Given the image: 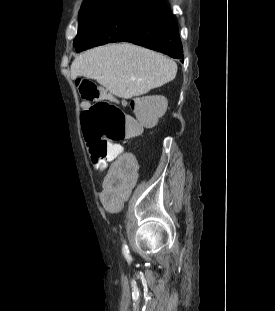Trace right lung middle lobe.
I'll list each match as a JSON object with an SVG mask.
<instances>
[{
    "instance_id": "1",
    "label": "right lung middle lobe",
    "mask_w": 275,
    "mask_h": 311,
    "mask_svg": "<svg viewBox=\"0 0 275 311\" xmlns=\"http://www.w3.org/2000/svg\"><path fill=\"white\" fill-rule=\"evenodd\" d=\"M164 4L149 0H85L79 12L77 52L119 42L127 31Z\"/></svg>"
}]
</instances>
